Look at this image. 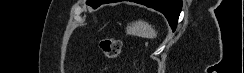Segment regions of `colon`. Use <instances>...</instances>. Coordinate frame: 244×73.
Masks as SVG:
<instances>
[{"label":"colon","mask_w":244,"mask_h":73,"mask_svg":"<svg viewBox=\"0 0 244 73\" xmlns=\"http://www.w3.org/2000/svg\"><path fill=\"white\" fill-rule=\"evenodd\" d=\"M121 41L114 37H106L100 41V49L108 58H116L121 53Z\"/></svg>","instance_id":"5ec220e1"}]
</instances>
